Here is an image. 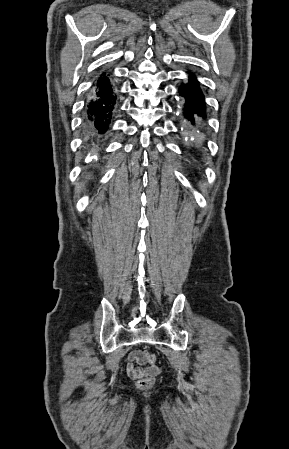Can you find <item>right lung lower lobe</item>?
Instances as JSON below:
<instances>
[{
  "instance_id": "right-lung-lower-lobe-1",
  "label": "right lung lower lobe",
  "mask_w": 289,
  "mask_h": 449,
  "mask_svg": "<svg viewBox=\"0 0 289 449\" xmlns=\"http://www.w3.org/2000/svg\"><path fill=\"white\" fill-rule=\"evenodd\" d=\"M115 103L116 96L110 79L103 72L95 83L87 105L85 124L90 135L97 136L108 130Z\"/></svg>"
}]
</instances>
